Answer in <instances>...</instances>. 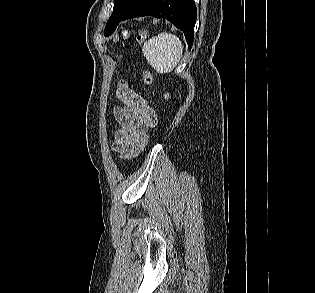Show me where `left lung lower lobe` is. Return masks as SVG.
<instances>
[{"instance_id":"obj_1","label":"left lung lower lobe","mask_w":315,"mask_h":293,"mask_svg":"<svg viewBox=\"0 0 315 293\" xmlns=\"http://www.w3.org/2000/svg\"><path fill=\"white\" fill-rule=\"evenodd\" d=\"M142 16L165 18L172 22L184 32L188 47L191 49L196 22L194 0H139L121 21Z\"/></svg>"}]
</instances>
